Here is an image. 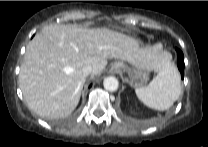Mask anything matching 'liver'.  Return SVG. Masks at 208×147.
I'll return each mask as SVG.
<instances>
[{"instance_id":"obj_1","label":"liver","mask_w":208,"mask_h":147,"mask_svg":"<svg viewBox=\"0 0 208 147\" xmlns=\"http://www.w3.org/2000/svg\"><path fill=\"white\" fill-rule=\"evenodd\" d=\"M121 59L147 71H159L169 55L107 28L85 29L51 24L27 46L19 86L28 107L42 117L61 118L77 107L86 77L102 73L108 59Z\"/></svg>"}]
</instances>
